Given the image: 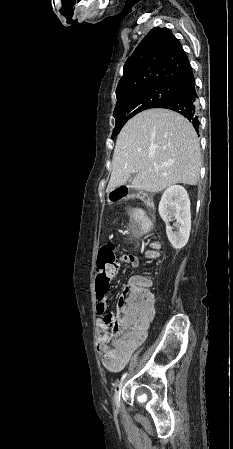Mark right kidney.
I'll return each mask as SVG.
<instances>
[{"instance_id": "right-kidney-1", "label": "right kidney", "mask_w": 233, "mask_h": 449, "mask_svg": "<svg viewBox=\"0 0 233 449\" xmlns=\"http://www.w3.org/2000/svg\"><path fill=\"white\" fill-rule=\"evenodd\" d=\"M159 214L166 223L167 237L175 249H182L188 242L191 230L190 199L180 185L165 190L159 203ZM176 220L173 227L169 224Z\"/></svg>"}]
</instances>
